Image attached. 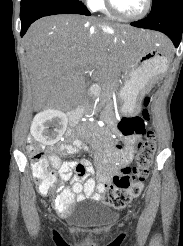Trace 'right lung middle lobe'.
Listing matches in <instances>:
<instances>
[{
    "instance_id": "obj_1",
    "label": "right lung middle lobe",
    "mask_w": 183,
    "mask_h": 246,
    "mask_svg": "<svg viewBox=\"0 0 183 246\" xmlns=\"http://www.w3.org/2000/svg\"><path fill=\"white\" fill-rule=\"evenodd\" d=\"M54 1L56 0H21V6H27L30 4L41 3V2L52 3Z\"/></svg>"
}]
</instances>
